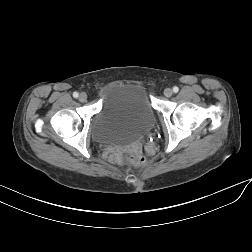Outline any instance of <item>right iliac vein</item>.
Returning a JSON list of instances; mask_svg holds the SVG:
<instances>
[{"mask_svg":"<svg viewBox=\"0 0 252 252\" xmlns=\"http://www.w3.org/2000/svg\"><path fill=\"white\" fill-rule=\"evenodd\" d=\"M87 99H88V96L85 92L80 93V95H79L80 102H86Z\"/></svg>","mask_w":252,"mask_h":252,"instance_id":"right-iliac-vein-1","label":"right iliac vein"}]
</instances>
